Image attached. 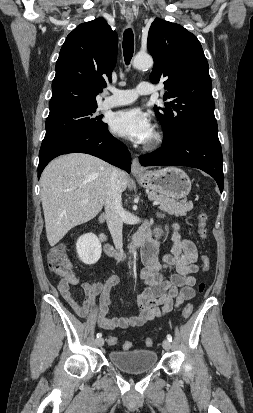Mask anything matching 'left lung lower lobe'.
Listing matches in <instances>:
<instances>
[{
    "label": "left lung lower lobe",
    "instance_id": "obj_1",
    "mask_svg": "<svg viewBox=\"0 0 253 413\" xmlns=\"http://www.w3.org/2000/svg\"><path fill=\"white\" fill-rule=\"evenodd\" d=\"M142 166H188L211 175L223 191V157L218 135L192 132L139 157Z\"/></svg>",
    "mask_w": 253,
    "mask_h": 413
}]
</instances>
